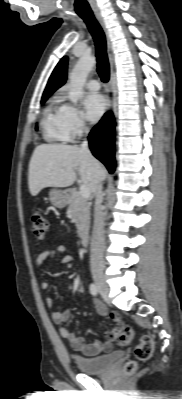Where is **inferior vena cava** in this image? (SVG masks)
Masks as SVG:
<instances>
[{"label":"inferior vena cava","instance_id":"inferior-vena-cava-1","mask_svg":"<svg viewBox=\"0 0 182 399\" xmlns=\"http://www.w3.org/2000/svg\"><path fill=\"white\" fill-rule=\"evenodd\" d=\"M89 131L86 130V133ZM81 148L89 154L88 142L85 139ZM94 205V225L91 238V272L93 274L101 272L103 269V249H104V216L102 212V181H99L95 189Z\"/></svg>","mask_w":182,"mask_h":399}]
</instances>
